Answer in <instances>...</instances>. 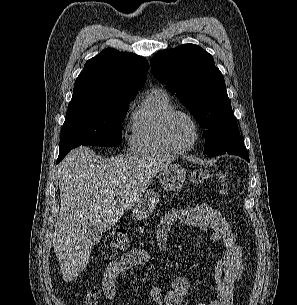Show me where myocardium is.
<instances>
[{
	"label": "myocardium",
	"instance_id": "f54148a6",
	"mask_svg": "<svg viewBox=\"0 0 297 305\" xmlns=\"http://www.w3.org/2000/svg\"><path fill=\"white\" fill-rule=\"evenodd\" d=\"M176 116L186 117L191 122V124L193 125L195 135H194L193 141L188 146L179 147L176 144H174V142L171 139L170 132H169V127H170V124H171L172 120ZM200 134H201V132H200L199 123L197 122L195 117L187 111L174 109V110L168 112L164 116V118L162 119V122H161L162 138H163L164 142L166 143V145L175 153L185 154V153L190 152L196 146V144L198 143V141L200 139Z\"/></svg>",
	"mask_w": 297,
	"mask_h": 305
}]
</instances>
